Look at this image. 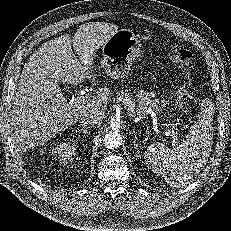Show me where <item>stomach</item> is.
<instances>
[{
  "instance_id": "stomach-1",
  "label": "stomach",
  "mask_w": 231,
  "mask_h": 231,
  "mask_svg": "<svg viewBox=\"0 0 231 231\" xmlns=\"http://www.w3.org/2000/svg\"><path fill=\"white\" fill-rule=\"evenodd\" d=\"M142 54V44L132 30H117L102 45L101 67L111 79L124 78Z\"/></svg>"
}]
</instances>
